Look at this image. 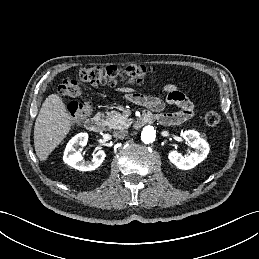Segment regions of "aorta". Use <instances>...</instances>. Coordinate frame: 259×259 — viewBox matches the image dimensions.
<instances>
[{
	"mask_svg": "<svg viewBox=\"0 0 259 259\" xmlns=\"http://www.w3.org/2000/svg\"><path fill=\"white\" fill-rule=\"evenodd\" d=\"M155 138H156V131H155L154 127L149 126V125L145 126L141 133L142 142L145 144H149V143H152L153 141H155Z\"/></svg>",
	"mask_w": 259,
	"mask_h": 259,
	"instance_id": "obj_1",
	"label": "aorta"
}]
</instances>
